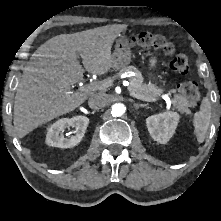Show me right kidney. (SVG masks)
Listing matches in <instances>:
<instances>
[{"label":"right kidney","instance_id":"1","mask_svg":"<svg viewBox=\"0 0 221 221\" xmlns=\"http://www.w3.org/2000/svg\"><path fill=\"white\" fill-rule=\"evenodd\" d=\"M88 124L89 119L81 115L59 119L48 128L46 143L53 147L71 148L80 143ZM69 127H75V134L71 137H64L63 132Z\"/></svg>","mask_w":221,"mask_h":221}]
</instances>
